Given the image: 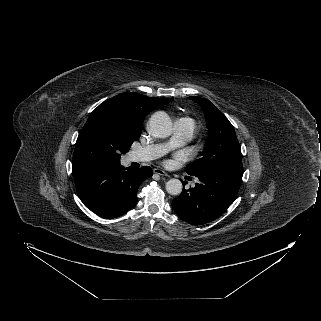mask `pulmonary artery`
Segmentation results:
<instances>
[{"mask_svg":"<svg viewBox=\"0 0 321 321\" xmlns=\"http://www.w3.org/2000/svg\"><path fill=\"white\" fill-rule=\"evenodd\" d=\"M195 124L190 118H180L175 123V132L166 144L150 145L131 152V161H150L164 155L169 149L189 141L194 134Z\"/></svg>","mask_w":321,"mask_h":321,"instance_id":"e3ab8cb5","label":"pulmonary artery"}]
</instances>
